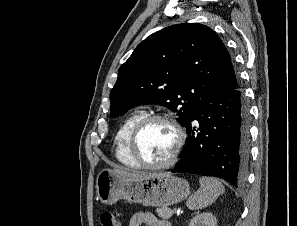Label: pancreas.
<instances>
[{"label": "pancreas", "mask_w": 297, "mask_h": 226, "mask_svg": "<svg viewBox=\"0 0 297 226\" xmlns=\"http://www.w3.org/2000/svg\"><path fill=\"white\" fill-rule=\"evenodd\" d=\"M156 213L158 217L167 220L171 218L174 212L168 207H161L156 209Z\"/></svg>", "instance_id": "1"}]
</instances>
